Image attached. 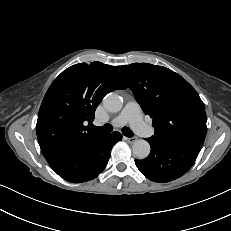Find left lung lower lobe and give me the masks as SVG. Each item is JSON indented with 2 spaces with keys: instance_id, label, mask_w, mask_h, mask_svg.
<instances>
[{
  "instance_id": "left-lung-lower-lobe-1",
  "label": "left lung lower lobe",
  "mask_w": 231,
  "mask_h": 231,
  "mask_svg": "<svg viewBox=\"0 0 231 231\" xmlns=\"http://www.w3.org/2000/svg\"><path fill=\"white\" fill-rule=\"evenodd\" d=\"M151 153L135 160L137 168L151 181L165 183L185 174L194 164L202 146L185 141L146 139Z\"/></svg>"
}]
</instances>
